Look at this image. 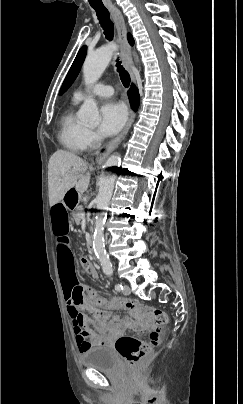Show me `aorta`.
Masks as SVG:
<instances>
[{
	"label": "aorta",
	"mask_w": 243,
	"mask_h": 404,
	"mask_svg": "<svg viewBox=\"0 0 243 404\" xmlns=\"http://www.w3.org/2000/svg\"><path fill=\"white\" fill-rule=\"evenodd\" d=\"M118 48L119 46H117V44H106V46L98 48L96 52L88 54L83 64V76L87 86L88 84H95V82L101 78L109 62H111L114 52H117ZM77 116L84 124L99 126L101 118L97 104L92 96L86 98ZM119 162H121L120 156H110V158L104 162V166H101L99 174L100 188L96 198V210L94 214L95 230L93 234V248L97 258H99L102 264L103 272H106V270L111 272L112 270L109 258L106 256L104 250V226L105 219L108 217V209L114 190V183H116L117 180L116 172L119 169Z\"/></svg>",
	"instance_id": "obj_1"
}]
</instances>
